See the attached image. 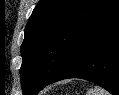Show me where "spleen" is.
Returning <instances> with one entry per match:
<instances>
[{"mask_svg":"<svg viewBox=\"0 0 119 95\" xmlns=\"http://www.w3.org/2000/svg\"><path fill=\"white\" fill-rule=\"evenodd\" d=\"M86 95H110V94L103 88L95 86L94 88L88 90Z\"/></svg>","mask_w":119,"mask_h":95,"instance_id":"spleen-1","label":"spleen"}]
</instances>
